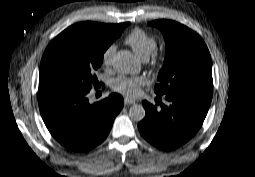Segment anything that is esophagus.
<instances>
[{
    "mask_svg": "<svg viewBox=\"0 0 255 177\" xmlns=\"http://www.w3.org/2000/svg\"><path fill=\"white\" fill-rule=\"evenodd\" d=\"M124 103H125L126 105H128V104H135L136 102H135V100H133V99L124 98Z\"/></svg>",
    "mask_w": 255,
    "mask_h": 177,
    "instance_id": "1",
    "label": "esophagus"
}]
</instances>
